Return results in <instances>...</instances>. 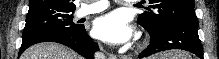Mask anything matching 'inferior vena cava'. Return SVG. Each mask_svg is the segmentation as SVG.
I'll list each match as a JSON object with an SVG mask.
<instances>
[{
    "instance_id": "1",
    "label": "inferior vena cava",
    "mask_w": 219,
    "mask_h": 59,
    "mask_svg": "<svg viewBox=\"0 0 219 59\" xmlns=\"http://www.w3.org/2000/svg\"><path fill=\"white\" fill-rule=\"evenodd\" d=\"M95 58L96 59H104V55L101 52L95 53Z\"/></svg>"
}]
</instances>
